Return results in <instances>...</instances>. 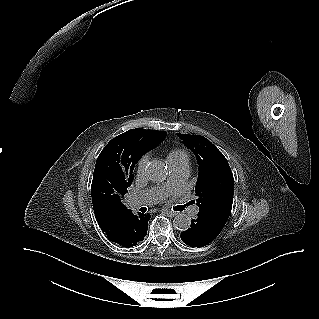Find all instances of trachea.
I'll return each mask as SVG.
<instances>
[{
    "instance_id": "3493384b",
    "label": "trachea",
    "mask_w": 319,
    "mask_h": 319,
    "mask_svg": "<svg viewBox=\"0 0 319 319\" xmlns=\"http://www.w3.org/2000/svg\"><path fill=\"white\" fill-rule=\"evenodd\" d=\"M181 210H183V207H181V208L178 209V211H181Z\"/></svg>"
}]
</instances>
